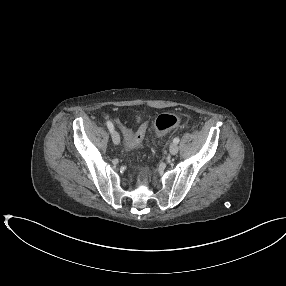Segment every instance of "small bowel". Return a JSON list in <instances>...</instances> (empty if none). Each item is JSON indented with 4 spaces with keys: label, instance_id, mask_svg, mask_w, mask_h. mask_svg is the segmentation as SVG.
<instances>
[{
    "label": "small bowel",
    "instance_id": "obj_1",
    "mask_svg": "<svg viewBox=\"0 0 286 286\" xmlns=\"http://www.w3.org/2000/svg\"><path fill=\"white\" fill-rule=\"evenodd\" d=\"M117 124L121 127V130L125 136V139H127L129 136H131L134 132L132 131V129H130L129 127L123 125L118 119L116 120ZM145 125V124H143Z\"/></svg>",
    "mask_w": 286,
    "mask_h": 286
}]
</instances>
